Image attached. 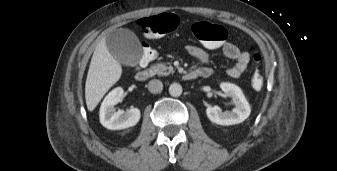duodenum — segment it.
I'll use <instances>...</instances> for the list:
<instances>
[{
	"label": "duodenum",
	"instance_id": "duodenum-1",
	"mask_svg": "<svg viewBox=\"0 0 337 171\" xmlns=\"http://www.w3.org/2000/svg\"><path fill=\"white\" fill-rule=\"evenodd\" d=\"M211 74V70L206 68H198L187 72L184 78L187 80H194L197 78H207ZM150 76V72L147 69H140L136 73V78L139 81L146 80Z\"/></svg>",
	"mask_w": 337,
	"mask_h": 171
}]
</instances>
